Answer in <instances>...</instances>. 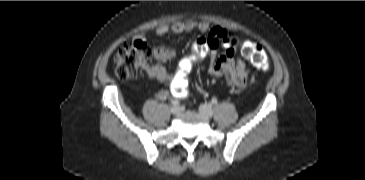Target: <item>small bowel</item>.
I'll list each match as a JSON object with an SVG mask.
<instances>
[{"label": "small bowel", "mask_w": 365, "mask_h": 180, "mask_svg": "<svg viewBox=\"0 0 365 180\" xmlns=\"http://www.w3.org/2000/svg\"><path fill=\"white\" fill-rule=\"evenodd\" d=\"M193 30H197L202 34L196 40V44L200 48L197 54L199 57L207 59L208 74L211 77H224L227 83L235 88H245L248 82L249 69L243 59L235 55V44L239 41L235 33L220 26L211 27L205 22L186 21L172 25H162L156 29V34L165 36ZM209 37H211V40H208ZM228 37L232 39L231 42ZM138 40H142V38ZM220 45L226 49L224 55L219 54ZM152 55L157 61L167 62L175 57V52L171 48L160 44L152 48ZM193 63L194 59L186 58L181 60L172 71L161 65H152L145 68V71L148 76L170 82L173 85L186 70L191 68ZM166 97L167 91L162 90L157 93V98L160 100H164Z\"/></svg>", "instance_id": "1"}]
</instances>
